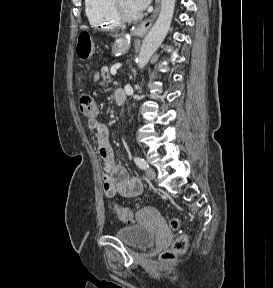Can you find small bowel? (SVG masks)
I'll return each mask as SVG.
<instances>
[{
	"label": "small bowel",
	"mask_w": 273,
	"mask_h": 288,
	"mask_svg": "<svg viewBox=\"0 0 273 288\" xmlns=\"http://www.w3.org/2000/svg\"><path fill=\"white\" fill-rule=\"evenodd\" d=\"M88 128L95 131L100 156L103 160V192L106 197L120 194L135 197L142 193L143 185L139 178L130 176L116 158L109 143L108 130L98 120H90Z\"/></svg>",
	"instance_id": "1"
}]
</instances>
